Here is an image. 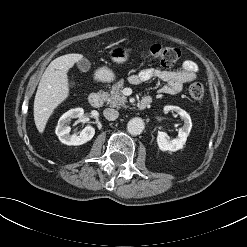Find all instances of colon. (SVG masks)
<instances>
[{
  "label": "colon",
  "instance_id": "5ec220e1",
  "mask_svg": "<svg viewBox=\"0 0 247 247\" xmlns=\"http://www.w3.org/2000/svg\"><path fill=\"white\" fill-rule=\"evenodd\" d=\"M144 55L149 57L164 67H171L180 61L181 53L179 49L172 46L154 44L148 48ZM204 87L199 82H194L189 86L188 93L193 100L199 101L204 96Z\"/></svg>",
  "mask_w": 247,
  "mask_h": 247
}]
</instances>
